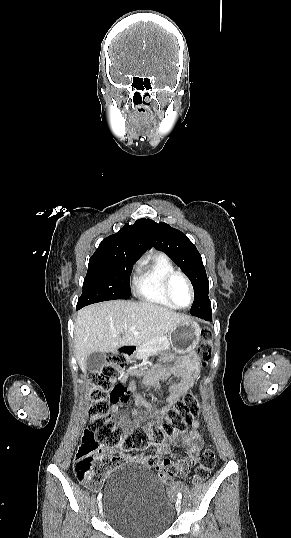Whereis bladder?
Here are the masks:
<instances>
[{
	"mask_svg": "<svg viewBox=\"0 0 291 538\" xmlns=\"http://www.w3.org/2000/svg\"><path fill=\"white\" fill-rule=\"evenodd\" d=\"M105 521L128 538H156L174 521L172 501L156 475L139 464L116 468L105 485Z\"/></svg>",
	"mask_w": 291,
	"mask_h": 538,
	"instance_id": "31cf9c89",
	"label": "bladder"
}]
</instances>
